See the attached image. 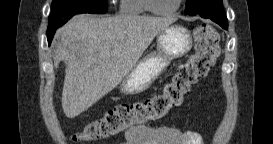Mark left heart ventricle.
<instances>
[{
	"instance_id": "left-heart-ventricle-1",
	"label": "left heart ventricle",
	"mask_w": 273,
	"mask_h": 144,
	"mask_svg": "<svg viewBox=\"0 0 273 144\" xmlns=\"http://www.w3.org/2000/svg\"><path fill=\"white\" fill-rule=\"evenodd\" d=\"M177 3V0H156L155 6L160 10H168L173 8Z\"/></svg>"
}]
</instances>
